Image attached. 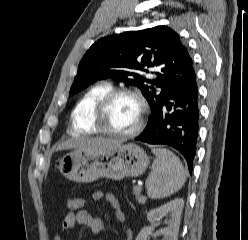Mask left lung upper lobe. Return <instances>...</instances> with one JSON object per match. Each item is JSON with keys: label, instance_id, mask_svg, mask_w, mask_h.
I'll list each match as a JSON object with an SVG mask.
<instances>
[{"label": "left lung upper lobe", "instance_id": "5c2ea615", "mask_svg": "<svg viewBox=\"0 0 248 240\" xmlns=\"http://www.w3.org/2000/svg\"><path fill=\"white\" fill-rule=\"evenodd\" d=\"M146 67H157L156 79L144 77ZM194 74L192 58L179 35L167 26H156L96 41L79 63L69 96L97 80L113 78L140 88L152 117L170 92Z\"/></svg>", "mask_w": 248, "mask_h": 240}]
</instances>
